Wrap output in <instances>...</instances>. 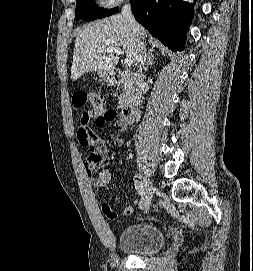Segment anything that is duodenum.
Returning a JSON list of instances; mask_svg holds the SVG:
<instances>
[{"instance_id":"1","label":"duodenum","mask_w":253,"mask_h":271,"mask_svg":"<svg viewBox=\"0 0 253 271\" xmlns=\"http://www.w3.org/2000/svg\"><path fill=\"white\" fill-rule=\"evenodd\" d=\"M135 74L132 72L114 71L111 74V80L114 84L121 85L133 81ZM138 113V104L135 100L126 103L121 109V119L125 124H131L135 121Z\"/></svg>"}]
</instances>
